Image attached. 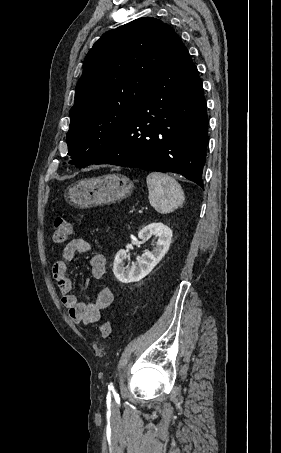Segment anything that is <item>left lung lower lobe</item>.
Instances as JSON below:
<instances>
[{"label": "left lung lower lobe", "mask_w": 281, "mask_h": 453, "mask_svg": "<svg viewBox=\"0 0 281 453\" xmlns=\"http://www.w3.org/2000/svg\"><path fill=\"white\" fill-rule=\"evenodd\" d=\"M207 125L202 82L177 36L128 123L92 164L178 173L203 187Z\"/></svg>", "instance_id": "1"}]
</instances>
